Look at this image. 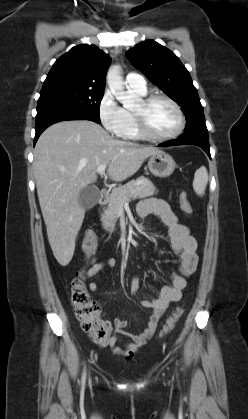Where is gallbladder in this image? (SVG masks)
I'll use <instances>...</instances> for the list:
<instances>
[{
    "instance_id": "gallbladder-1",
    "label": "gallbladder",
    "mask_w": 248,
    "mask_h": 419,
    "mask_svg": "<svg viewBox=\"0 0 248 419\" xmlns=\"http://www.w3.org/2000/svg\"><path fill=\"white\" fill-rule=\"evenodd\" d=\"M100 199V192L95 187H87L81 190L79 196V203L80 205L88 210L93 208Z\"/></svg>"
}]
</instances>
